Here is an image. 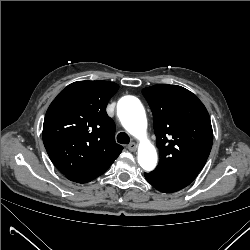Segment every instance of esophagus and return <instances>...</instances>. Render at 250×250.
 <instances>
[{
	"label": "esophagus",
	"mask_w": 250,
	"mask_h": 250,
	"mask_svg": "<svg viewBox=\"0 0 250 250\" xmlns=\"http://www.w3.org/2000/svg\"><path fill=\"white\" fill-rule=\"evenodd\" d=\"M129 151H135L137 149V145L134 142H131L128 146H127Z\"/></svg>",
	"instance_id": "esophagus-1"
}]
</instances>
